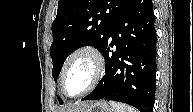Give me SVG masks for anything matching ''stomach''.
<instances>
[{
    "label": "stomach",
    "mask_w": 193,
    "mask_h": 112,
    "mask_svg": "<svg viewBox=\"0 0 193 112\" xmlns=\"http://www.w3.org/2000/svg\"><path fill=\"white\" fill-rule=\"evenodd\" d=\"M78 112H113V109L104 100L90 102Z\"/></svg>",
    "instance_id": "1"
}]
</instances>
